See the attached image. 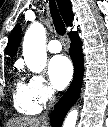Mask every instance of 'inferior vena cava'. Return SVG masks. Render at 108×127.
Returning <instances> with one entry per match:
<instances>
[{
  "instance_id": "602c4592",
  "label": "inferior vena cava",
  "mask_w": 108,
  "mask_h": 127,
  "mask_svg": "<svg viewBox=\"0 0 108 127\" xmlns=\"http://www.w3.org/2000/svg\"><path fill=\"white\" fill-rule=\"evenodd\" d=\"M53 94H54V90H53V89H50V91H49V98H50V99L52 98ZM41 118H42L43 121H47V120H48L47 114H43V115L41 116Z\"/></svg>"
}]
</instances>
